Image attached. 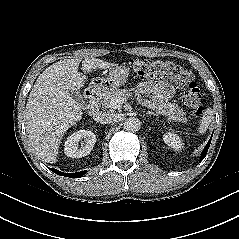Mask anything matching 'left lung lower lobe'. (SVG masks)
<instances>
[{
    "mask_svg": "<svg viewBox=\"0 0 239 239\" xmlns=\"http://www.w3.org/2000/svg\"><path fill=\"white\" fill-rule=\"evenodd\" d=\"M211 139H212V136H211L210 140L208 141V143L206 144V146H205V148H204V150H203V152H202L201 161H202V160L205 158V156H206V153H207L208 148H209L210 143H211Z\"/></svg>",
    "mask_w": 239,
    "mask_h": 239,
    "instance_id": "left-lung-lower-lobe-1",
    "label": "left lung lower lobe"
}]
</instances>
